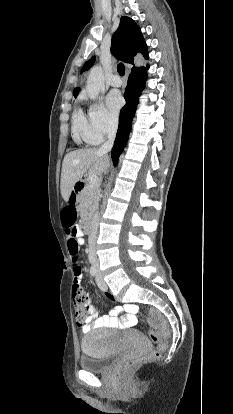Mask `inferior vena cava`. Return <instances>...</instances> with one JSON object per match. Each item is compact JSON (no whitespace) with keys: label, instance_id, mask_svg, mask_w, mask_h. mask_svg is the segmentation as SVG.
<instances>
[{"label":"inferior vena cava","instance_id":"obj_1","mask_svg":"<svg viewBox=\"0 0 233 414\" xmlns=\"http://www.w3.org/2000/svg\"><path fill=\"white\" fill-rule=\"evenodd\" d=\"M117 128H118V120L117 119H112L109 122V126H108V131H107V138L108 140L99 148V152L102 154H106L107 152L111 151L114 141H115V137H116V132H117ZM99 212L96 211L95 214L93 215V226L94 229L88 234V237L90 238L88 240V248H89V252H88V257L90 258V262L92 264L98 265V259L96 257V248H97V228L99 225Z\"/></svg>","mask_w":233,"mask_h":414}]
</instances>
